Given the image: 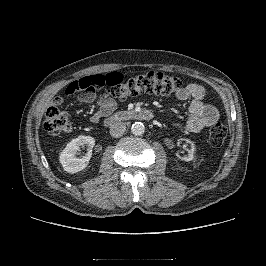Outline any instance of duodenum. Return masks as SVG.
Segmentation results:
<instances>
[{"mask_svg":"<svg viewBox=\"0 0 266 266\" xmlns=\"http://www.w3.org/2000/svg\"><path fill=\"white\" fill-rule=\"evenodd\" d=\"M154 114L152 111L148 109H139V110H127V111H120L113 115H109L105 119L106 126H114L120 122L126 120H142L148 121L153 119Z\"/></svg>","mask_w":266,"mask_h":266,"instance_id":"obj_1","label":"duodenum"}]
</instances>
